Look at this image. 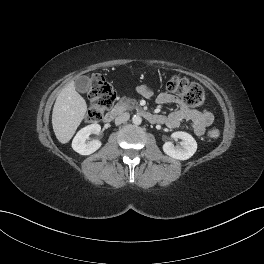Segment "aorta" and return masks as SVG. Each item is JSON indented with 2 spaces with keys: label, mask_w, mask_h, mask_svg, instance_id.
Instances as JSON below:
<instances>
[{
  "label": "aorta",
  "mask_w": 264,
  "mask_h": 264,
  "mask_svg": "<svg viewBox=\"0 0 264 264\" xmlns=\"http://www.w3.org/2000/svg\"><path fill=\"white\" fill-rule=\"evenodd\" d=\"M132 122L135 125H140L142 123V118L139 115H134L132 117Z\"/></svg>",
  "instance_id": "aorta-1"
}]
</instances>
